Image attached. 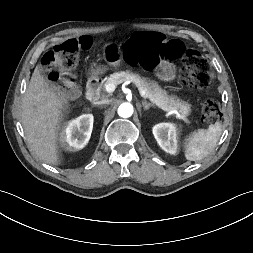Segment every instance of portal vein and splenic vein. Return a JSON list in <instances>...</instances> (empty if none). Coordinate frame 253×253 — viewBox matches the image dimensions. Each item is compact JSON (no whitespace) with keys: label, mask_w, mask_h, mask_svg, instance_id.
Returning <instances> with one entry per match:
<instances>
[{"label":"portal vein and splenic vein","mask_w":253,"mask_h":253,"mask_svg":"<svg viewBox=\"0 0 253 253\" xmlns=\"http://www.w3.org/2000/svg\"><path fill=\"white\" fill-rule=\"evenodd\" d=\"M115 88H116V86H115L113 83H109V84L105 85V91L108 92V93L114 92ZM138 90H139V93H140V95H141L142 97H144V98L147 97V96H146L145 90H143V89H141V88H138ZM169 113H170V114H175L177 117H180V118H182L183 120H186L185 116H184V115H180V114L178 113V111H176V110H170Z\"/></svg>","instance_id":"portal-vein-and-splenic-vein-1"}]
</instances>
